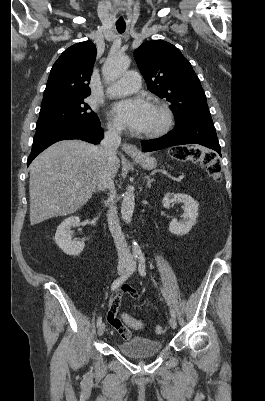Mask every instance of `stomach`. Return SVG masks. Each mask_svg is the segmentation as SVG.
<instances>
[{"instance_id": "0dacf381", "label": "stomach", "mask_w": 265, "mask_h": 401, "mask_svg": "<svg viewBox=\"0 0 265 401\" xmlns=\"http://www.w3.org/2000/svg\"><path fill=\"white\" fill-rule=\"evenodd\" d=\"M132 158H134L136 162H139V164H141L142 168H145V170H153V168H156L157 166L156 158H154V156H149V154H140V156L134 154Z\"/></svg>"}]
</instances>
